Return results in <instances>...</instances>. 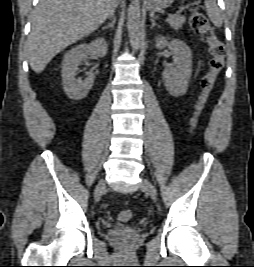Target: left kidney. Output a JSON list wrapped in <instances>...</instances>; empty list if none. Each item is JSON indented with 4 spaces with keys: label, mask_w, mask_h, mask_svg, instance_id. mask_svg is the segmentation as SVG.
<instances>
[{
    "label": "left kidney",
    "mask_w": 254,
    "mask_h": 267,
    "mask_svg": "<svg viewBox=\"0 0 254 267\" xmlns=\"http://www.w3.org/2000/svg\"><path fill=\"white\" fill-rule=\"evenodd\" d=\"M157 49L168 47L173 53L174 62L164 69L162 76L169 94L180 97L186 94L192 75V52L186 43L178 39L168 42L163 36L156 37Z\"/></svg>",
    "instance_id": "left-kidney-1"
}]
</instances>
